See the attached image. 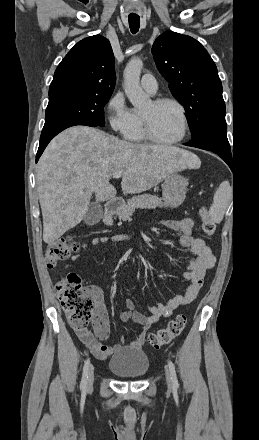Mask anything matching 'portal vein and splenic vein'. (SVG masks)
Wrapping results in <instances>:
<instances>
[{"instance_id": "obj_1", "label": "portal vein and splenic vein", "mask_w": 259, "mask_h": 440, "mask_svg": "<svg viewBox=\"0 0 259 440\" xmlns=\"http://www.w3.org/2000/svg\"><path fill=\"white\" fill-rule=\"evenodd\" d=\"M122 175H123V172H122V171H117V172L113 173L112 176H113V178L118 179V178H120Z\"/></svg>"}]
</instances>
